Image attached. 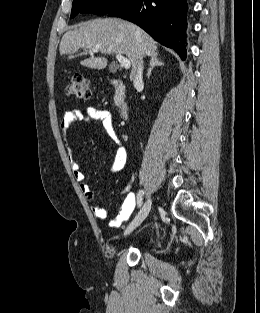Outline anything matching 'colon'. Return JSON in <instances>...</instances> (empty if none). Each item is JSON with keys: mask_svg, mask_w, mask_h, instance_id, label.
Wrapping results in <instances>:
<instances>
[{"mask_svg": "<svg viewBox=\"0 0 260 313\" xmlns=\"http://www.w3.org/2000/svg\"><path fill=\"white\" fill-rule=\"evenodd\" d=\"M67 96L81 99H89L92 96V90L89 81L83 76H74L65 87Z\"/></svg>", "mask_w": 260, "mask_h": 313, "instance_id": "1", "label": "colon"}]
</instances>
